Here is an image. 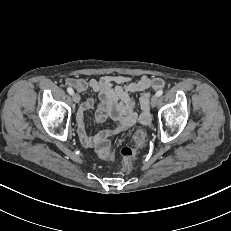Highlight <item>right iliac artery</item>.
<instances>
[{
	"instance_id": "82829eb1",
	"label": "right iliac artery",
	"mask_w": 231,
	"mask_h": 231,
	"mask_svg": "<svg viewBox=\"0 0 231 231\" xmlns=\"http://www.w3.org/2000/svg\"><path fill=\"white\" fill-rule=\"evenodd\" d=\"M67 92H68L70 95H73V94H74V90H73L71 87H68V88H67Z\"/></svg>"
}]
</instances>
